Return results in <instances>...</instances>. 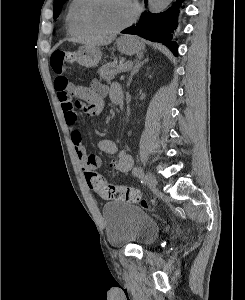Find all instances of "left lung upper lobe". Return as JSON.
<instances>
[{
    "label": "left lung upper lobe",
    "mask_w": 245,
    "mask_h": 300,
    "mask_svg": "<svg viewBox=\"0 0 245 300\" xmlns=\"http://www.w3.org/2000/svg\"><path fill=\"white\" fill-rule=\"evenodd\" d=\"M65 1H67V0H55V2H54V19H56L59 16V14L62 10V6L65 3Z\"/></svg>",
    "instance_id": "left-lung-upper-lobe-1"
}]
</instances>
